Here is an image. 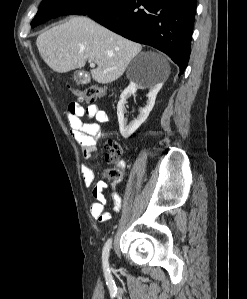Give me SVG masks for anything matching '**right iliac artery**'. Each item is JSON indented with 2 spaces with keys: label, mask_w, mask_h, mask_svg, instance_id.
Instances as JSON below:
<instances>
[{
  "label": "right iliac artery",
  "mask_w": 247,
  "mask_h": 299,
  "mask_svg": "<svg viewBox=\"0 0 247 299\" xmlns=\"http://www.w3.org/2000/svg\"><path fill=\"white\" fill-rule=\"evenodd\" d=\"M112 245V239H108L104 248H103V254H102V261L103 266L106 272H109V263H108V257H109V251Z\"/></svg>",
  "instance_id": "1"
}]
</instances>
